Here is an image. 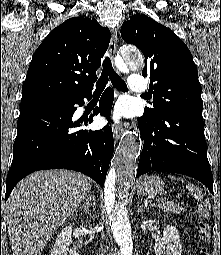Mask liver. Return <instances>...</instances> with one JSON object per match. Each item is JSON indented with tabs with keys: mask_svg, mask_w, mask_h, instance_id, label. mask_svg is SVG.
<instances>
[{
	"mask_svg": "<svg viewBox=\"0 0 221 255\" xmlns=\"http://www.w3.org/2000/svg\"><path fill=\"white\" fill-rule=\"evenodd\" d=\"M92 182L68 170L38 171L20 181L3 207L13 255H41L54 231L76 212Z\"/></svg>",
	"mask_w": 221,
	"mask_h": 255,
	"instance_id": "1",
	"label": "liver"
}]
</instances>
